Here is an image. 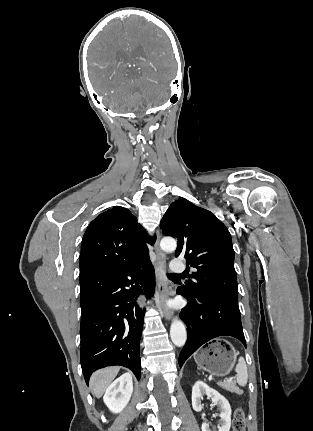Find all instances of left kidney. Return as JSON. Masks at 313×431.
I'll return each instance as SVG.
<instances>
[{
    "instance_id": "obj_1",
    "label": "left kidney",
    "mask_w": 313,
    "mask_h": 431,
    "mask_svg": "<svg viewBox=\"0 0 313 431\" xmlns=\"http://www.w3.org/2000/svg\"><path fill=\"white\" fill-rule=\"evenodd\" d=\"M204 395L211 398L212 402L219 406L221 426L218 427V431H229L231 427V406L228 400L202 381H197L192 388L193 409L197 412L202 411L203 404L201 400ZM202 431H211L208 423L205 421L202 423Z\"/></svg>"
}]
</instances>
